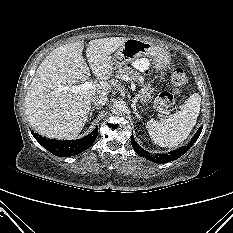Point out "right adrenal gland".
Wrapping results in <instances>:
<instances>
[{"mask_svg": "<svg viewBox=\"0 0 233 233\" xmlns=\"http://www.w3.org/2000/svg\"><path fill=\"white\" fill-rule=\"evenodd\" d=\"M95 109H100V108H99V107H92L91 110H90V112H89V117L92 116V113H93V111H94Z\"/></svg>", "mask_w": 233, "mask_h": 233, "instance_id": "right-adrenal-gland-1", "label": "right adrenal gland"}]
</instances>
